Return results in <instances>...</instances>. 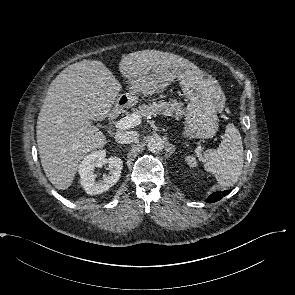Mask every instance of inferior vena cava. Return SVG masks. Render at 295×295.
I'll use <instances>...</instances> for the list:
<instances>
[{
  "instance_id": "inferior-vena-cava-1",
  "label": "inferior vena cava",
  "mask_w": 295,
  "mask_h": 295,
  "mask_svg": "<svg viewBox=\"0 0 295 295\" xmlns=\"http://www.w3.org/2000/svg\"><path fill=\"white\" fill-rule=\"evenodd\" d=\"M139 138V133L136 131H122L115 135L116 142L120 144H128L136 141Z\"/></svg>"
}]
</instances>
